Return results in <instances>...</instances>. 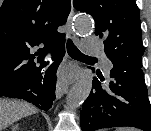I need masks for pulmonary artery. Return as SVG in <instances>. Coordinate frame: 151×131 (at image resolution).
<instances>
[{"label":"pulmonary artery","instance_id":"e3ab8cb5","mask_svg":"<svg viewBox=\"0 0 151 131\" xmlns=\"http://www.w3.org/2000/svg\"><path fill=\"white\" fill-rule=\"evenodd\" d=\"M83 49L90 54L102 53L100 42L95 38L87 39L84 43ZM103 63L106 71L109 72L110 69L112 68V63L106 58H103Z\"/></svg>","mask_w":151,"mask_h":131}]
</instances>
